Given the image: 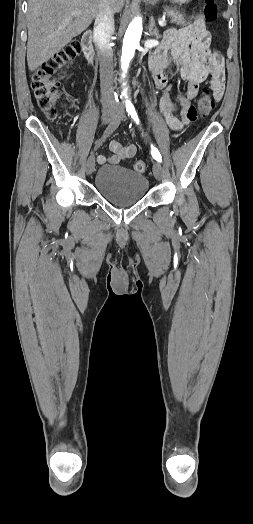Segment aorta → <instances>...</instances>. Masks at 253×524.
<instances>
[{"label":"aorta","mask_w":253,"mask_h":524,"mask_svg":"<svg viewBox=\"0 0 253 524\" xmlns=\"http://www.w3.org/2000/svg\"><path fill=\"white\" fill-rule=\"evenodd\" d=\"M142 21L140 18H135L128 26L122 47V56H121V69L123 71L122 76L125 77V74L128 70L129 63L134 57L135 50L139 45V41L142 34ZM123 95L127 96V89L123 91Z\"/></svg>","instance_id":"aorta-1"}]
</instances>
